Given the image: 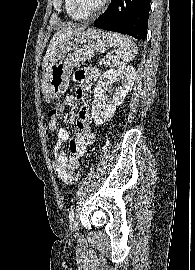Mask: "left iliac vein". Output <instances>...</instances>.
Here are the masks:
<instances>
[{
    "instance_id": "obj_1",
    "label": "left iliac vein",
    "mask_w": 195,
    "mask_h": 270,
    "mask_svg": "<svg viewBox=\"0 0 195 270\" xmlns=\"http://www.w3.org/2000/svg\"><path fill=\"white\" fill-rule=\"evenodd\" d=\"M71 228H72L73 231H76V230H77V224H76L75 221H73V222L71 223Z\"/></svg>"
}]
</instances>
